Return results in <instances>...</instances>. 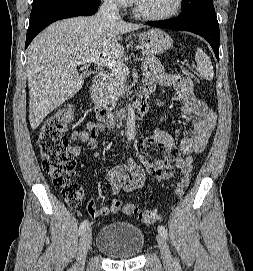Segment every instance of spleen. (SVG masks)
I'll return each mask as SVG.
<instances>
[{
	"label": "spleen",
	"mask_w": 253,
	"mask_h": 271,
	"mask_svg": "<svg viewBox=\"0 0 253 271\" xmlns=\"http://www.w3.org/2000/svg\"><path fill=\"white\" fill-rule=\"evenodd\" d=\"M197 70L203 79L211 81L214 77L213 66L210 58L203 52L201 48H197L195 54Z\"/></svg>",
	"instance_id": "obj_1"
}]
</instances>
